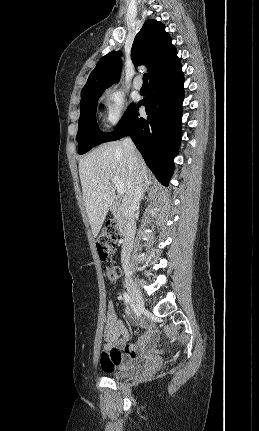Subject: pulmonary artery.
I'll use <instances>...</instances> for the list:
<instances>
[{
    "label": "pulmonary artery",
    "mask_w": 259,
    "mask_h": 431,
    "mask_svg": "<svg viewBox=\"0 0 259 431\" xmlns=\"http://www.w3.org/2000/svg\"><path fill=\"white\" fill-rule=\"evenodd\" d=\"M133 86L136 90H140L142 88V81L140 77H137L134 82H133Z\"/></svg>",
    "instance_id": "1"
}]
</instances>
